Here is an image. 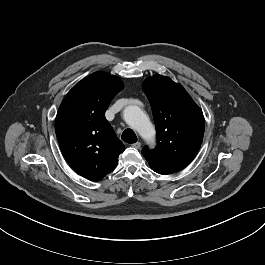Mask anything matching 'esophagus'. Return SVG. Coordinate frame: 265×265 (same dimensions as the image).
I'll return each instance as SVG.
<instances>
[{
  "label": "esophagus",
  "mask_w": 265,
  "mask_h": 265,
  "mask_svg": "<svg viewBox=\"0 0 265 265\" xmlns=\"http://www.w3.org/2000/svg\"><path fill=\"white\" fill-rule=\"evenodd\" d=\"M132 147H134L136 149H140L141 148V143L140 142H136V143L132 144Z\"/></svg>",
  "instance_id": "1"
}]
</instances>
